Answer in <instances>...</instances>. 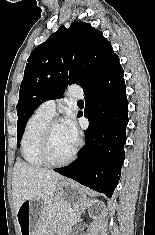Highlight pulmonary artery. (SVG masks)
Here are the masks:
<instances>
[{"mask_svg":"<svg viewBox=\"0 0 155 235\" xmlns=\"http://www.w3.org/2000/svg\"><path fill=\"white\" fill-rule=\"evenodd\" d=\"M69 95L74 98H81L83 96V91L80 87H71L69 89ZM38 110L50 116H53L56 112V101L47 100L39 106Z\"/></svg>","mask_w":155,"mask_h":235,"instance_id":"e3ab8cb5","label":"pulmonary artery"}]
</instances>
